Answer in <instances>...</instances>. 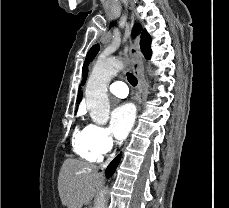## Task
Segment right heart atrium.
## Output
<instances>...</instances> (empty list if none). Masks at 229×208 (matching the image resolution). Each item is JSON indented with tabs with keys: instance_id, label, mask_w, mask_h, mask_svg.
Instances as JSON below:
<instances>
[{
	"instance_id": "right-heart-atrium-1",
	"label": "right heart atrium",
	"mask_w": 229,
	"mask_h": 208,
	"mask_svg": "<svg viewBox=\"0 0 229 208\" xmlns=\"http://www.w3.org/2000/svg\"><path fill=\"white\" fill-rule=\"evenodd\" d=\"M88 128L89 144L100 154L110 152L114 146V140L109 129L97 124H90Z\"/></svg>"
}]
</instances>
